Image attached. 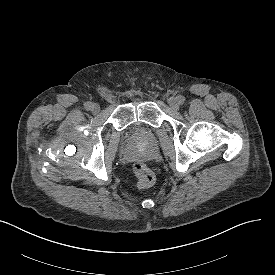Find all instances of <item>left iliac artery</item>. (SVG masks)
Instances as JSON below:
<instances>
[{
	"instance_id": "1",
	"label": "left iliac artery",
	"mask_w": 275,
	"mask_h": 275,
	"mask_svg": "<svg viewBox=\"0 0 275 275\" xmlns=\"http://www.w3.org/2000/svg\"><path fill=\"white\" fill-rule=\"evenodd\" d=\"M177 99H178V101H179V104H183L184 101H185V97L182 96V95L177 96Z\"/></svg>"
}]
</instances>
